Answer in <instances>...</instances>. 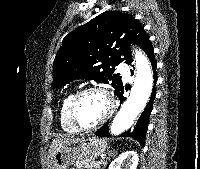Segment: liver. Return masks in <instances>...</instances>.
I'll list each match as a JSON object with an SVG mask.
<instances>
[{"mask_svg":"<svg viewBox=\"0 0 200 169\" xmlns=\"http://www.w3.org/2000/svg\"><path fill=\"white\" fill-rule=\"evenodd\" d=\"M79 141H80V139H78V138H66V137L55 138L50 145L49 157L51 158V156L54 154V152L56 150H58L59 148H61L63 146H68V145H71L74 143H78Z\"/></svg>","mask_w":200,"mask_h":169,"instance_id":"1","label":"liver"}]
</instances>
